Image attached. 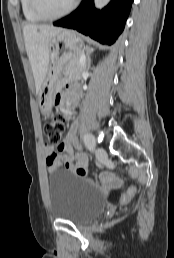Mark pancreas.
I'll return each mask as SVG.
<instances>
[{"label":"pancreas","instance_id":"1","mask_svg":"<svg viewBox=\"0 0 174 258\" xmlns=\"http://www.w3.org/2000/svg\"><path fill=\"white\" fill-rule=\"evenodd\" d=\"M81 55L72 59V60H70L65 65V67L62 70L63 77L60 79L59 84H62L65 81L81 78V73L86 68L85 62L84 63H79Z\"/></svg>","mask_w":174,"mask_h":258}]
</instances>
